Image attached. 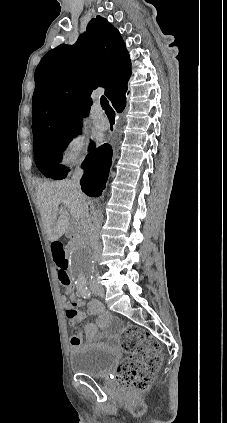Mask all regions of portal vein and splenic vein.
<instances>
[{"mask_svg":"<svg viewBox=\"0 0 227 423\" xmlns=\"http://www.w3.org/2000/svg\"><path fill=\"white\" fill-rule=\"evenodd\" d=\"M72 215H73V217H79L78 211H76V213L75 214H72Z\"/></svg>","mask_w":227,"mask_h":423,"instance_id":"1","label":"portal vein and splenic vein"}]
</instances>
